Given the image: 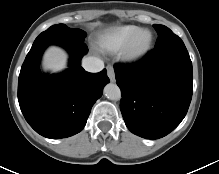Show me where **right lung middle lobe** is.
I'll return each mask as SVG.
<instances>
[{"label": "right lung middle lobe", "mask_w": 219, "mask_h": 174, "mask_svg": "<svg viewBox=\"0 0 219 174\" xmlns=\"http://www.w3.org/2000/svg\"><path fill=\"white\" fill-rule=\"evenodd\" d=\"M86 32L81 29H72L65 24H57L49 27L46 31L39 34L35 39L31 50L39 46L48 45L52 43H70V42H84Z\"/></svg>", "instance_id": "obj_1"}]
</instances>
